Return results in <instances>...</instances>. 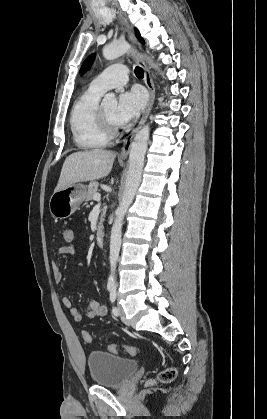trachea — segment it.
Returning <instances> with one entry per match:
<instances>
[{
  "label": "trachea",
  "mask_w": 267,
  "mask_h": 419,
  "mask_svg": "<svg viewBox=\"0 0 267 419\" xmlns=\"http://www.w3.org/2000/svg\"><path fill=\"white\" fill-rule=\"evenodd\" d=\"M135 75L140 79L143 78L144 77V70L139 66L135 67Z\"/></svg>",
  "instance_id": "obj_1"
}]
</instances>
